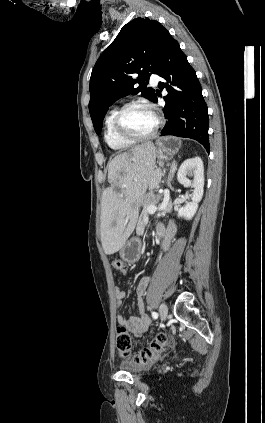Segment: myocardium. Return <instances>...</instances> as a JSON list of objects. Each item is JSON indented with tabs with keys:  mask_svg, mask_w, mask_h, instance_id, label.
<instances>
[{
	"mask_svg": "<svg viewBox=\"0 0 265 423\" xmlns=\"http://www.w3.org/2000/svg\"><path fill=\"white\" fill-rule=\"evenodd\" d=\"M136 107L146 108L149 111H151L153 113V115L155 116V120H156L155 126L146 135H142V136L133 135L130 132H128L123 125V119H124V116L126 115V113L129 110H131L132 108H136ZM161 125H162L161 117L159 116V114L157 113L155 108L150 103H147V102L141 101V100L132 101V102H129V103L125 104L124 106H122L119 109V111L117 112L115 119H114V129H115L116 134L121 139L128 141V142H132V143H138V142H143V141H147V140L152 139L158 133Z\"/></svg>",
	"mask_w": 265,
	"mask_h": 423,
	"instance_id": "f54148a6",
	"label": "myocardium"
}]
</instances>
